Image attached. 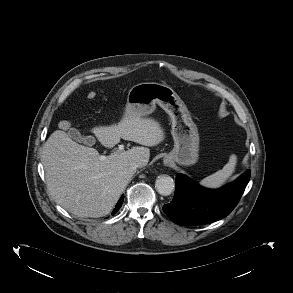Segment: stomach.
I'll return each instance as SVG.
<instances>
[{"mask_svg":"<svg viewBox=\"0 0 293 293\" xmlns=\"http://www.w3.org/2000/svg\"><path fill=\"white\" fill-rule=\"evenodd\" d=\"M159 105L171 118L173 150L166 155L165 161L190 166L197 162L199 151V133L190 113L169 86L145 82L133 86L128 93L124 111L126 117L144 118L152 114Z\"/></svg>","mask_w":293,"mask_h":293,"instance_id":"stomach-1","label":"stomach"}]
</instances>
